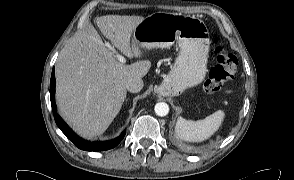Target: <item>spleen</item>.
Masks as SVG:
<instances>
[{
	"label": "spleen",
	"mask_w": 294,
	"mask_h": 180,
	"mask_svg": "<svg viewBox=\"0 0 294 180\" xmlns=\"http://www.w3.org/2000/svg\"><path fill=\"white\" fill-rule=\"evenodd\" d=\"M224 115L222 110H218L205 119L197 121L180 117L175 125V134L183 141L202 142L210 138L219 129Z\"/></svg>",
	"instance_id": "obj_1"
}]
</instances>
